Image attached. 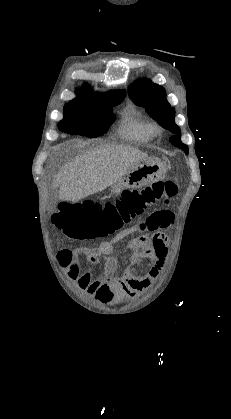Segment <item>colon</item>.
<instances>
[{"label":"colon","mask_w":231,"mask_h":419,"mask_svg":"<svg viewBox=\"0 0 231 419\" xmlns=\"http://www.w3.org/2000/svg\"><path fill=\"white\" fill-rule=\"evenodd\" d=\"M173 181L155 182L140 189L124 190L104 203L73 204L62 202L55 223L72 237L102 239L119 231L160 200L168 202L176 194ZM64 252H60V259ZM64 263L65 259L61 258Z\"/></svg>","instance_id":"colon-1"}]
</instances>
